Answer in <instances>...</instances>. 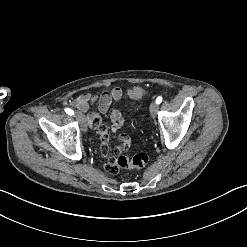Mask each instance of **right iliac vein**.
<instances>
[{"label": "right iliac vein", "mask_w": 247, "mask_h": 247, "mask_svg": "<svg viewBox=\"0 0 247 247\" xmlns=\"http://www.w3.org/2000/svg\"><path fill=\"white\" fill-rule=\"evenodd\" d=\"M76 118L80 122L82 132L86 133L88 128H87V124H86V120H85L84 116L80 112L77 111L76 112Z\"/></svg>", "instance_id": "right-iliac-vein-1"}]
</instances>
